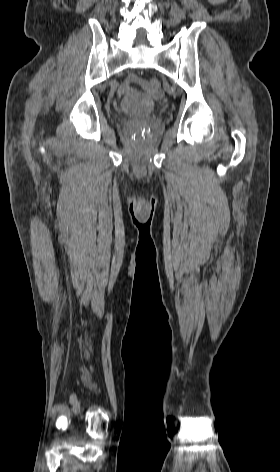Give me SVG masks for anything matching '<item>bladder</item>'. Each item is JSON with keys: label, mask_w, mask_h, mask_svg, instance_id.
Masks as SVG:
<instances>
[{"label": "bladder", "mask_w": 280, "mask_h": 472, "mask_svg": "<svg viewBox=\"0 0 280 472\" xmlns=\"http://www.w3.org/2000/svg\"><path fill=\"white\" fill-rule=\"evenodd\" d=\"M156 109V102L145 95H133L123 98L119 110L133 116H145Z\"/></svg>", "instance_id": "1"}]
</instances>
